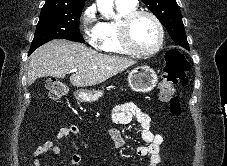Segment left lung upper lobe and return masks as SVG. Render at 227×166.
Instances as JSON below:
<instances>
[{"label": "left lung upper lobe", "instance_id": "obj_1", "mask_svg": "<svg viewBox=\"0 0 227 166\" xmlns=\"http://www.w3.org/2000/svg\"><path fill=\"white\" fill-rule=\"evenodd\" d=\"M167 29L170 37L180 46L189 49L182 16L175 0H142Z\"/></svg>", "mask_w": 227, "mask_h": 166}]
</instances>
